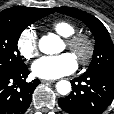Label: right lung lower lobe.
Returning a JSON list of instances; mask_svg holds the SVG:
<instances>
[{"label":"right lung lower lobe","mask_w":114,"mask_h":114,"mask_svg":"<svg viewBox=\"0 0 114 114\" xmlns=\"http://www.w3.org/2000/svg\"><path fill=\"white\" fill-rule=\"evenodd\" d=\"M29 71L23 68L0 74V114H23L31 103V95L40 83L38 79L27 83Z\"/></svg>","instance_id":"98d812e1"}]
</instances>
